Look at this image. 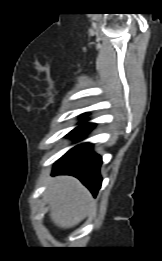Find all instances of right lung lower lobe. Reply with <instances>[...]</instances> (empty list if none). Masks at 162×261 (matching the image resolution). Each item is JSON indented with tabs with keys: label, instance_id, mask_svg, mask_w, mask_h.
<instances>
[{
	"label": "right lung lower lobe",
	"instance_id": "1",
	"mask_svg": "<svg viewBox=\"0 0 162 261\" xmlns=\"http://www.w3.org/2000/svg\"><path fill=\"white\" fill-rule=\"evenodd\" d=\"M71 131L70 137H83L95 127V124L82 122ZM101 156L92 151L90 143H83L69 150L54 165L53 175L66 174L77 177L96 196L101 187L100 175Z\"/></svg>",
	"mask_w": 162,
	"mask_h": 261
}]
</instances>
